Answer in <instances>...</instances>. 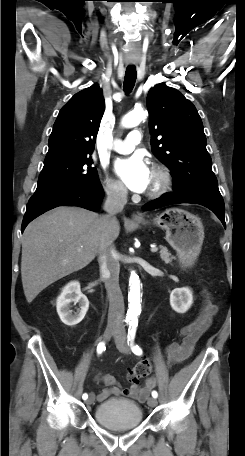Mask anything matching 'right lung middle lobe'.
I'll return each instance as SVG.
<instances>
[{"mask_svg": "<svg viewBox=\"0 0 245 456\" xmlns=\"http://www.w3.org/2000/svg\"><path fill=\"white\" fill-rule=\"evenodd\" d=\"M92 164V159L83 155L44 165L34 195L90 188L100 184L97 169Z\"/></svg>", "mask_w": 245, "mask_h": 456, "instance_id": "obj_1", "label": "right lung middle lobe"}]
</instances>
